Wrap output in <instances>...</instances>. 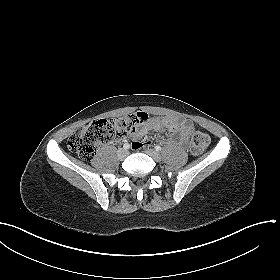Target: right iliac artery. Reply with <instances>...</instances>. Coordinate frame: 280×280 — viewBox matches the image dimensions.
<instances>
[{"instance_id": "82829eb1", "label": "right iliac artery", "mask_w": 280, "mask_h": 280, "mask_svg": "<svg viewBox=\"0 0 280 280\" xmlns=\"http://www.w3.org/2000/svg\"><path fill=\"white\" fill-rule=\"evenodd\" d=\"M123 148L127 150V149L130 148V145H129L128 143H125V144L123 145Z\"/></svg>"}]
</instances>
